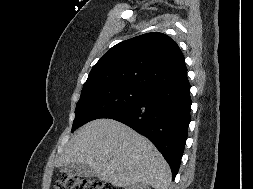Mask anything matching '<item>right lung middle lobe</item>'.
Instances as JSON below:
<instances>
[{
	"label": "right lung middle lobe",
	"mask_w": 253,
	"mask_h": 189,
	"mask_svg": "<svg viewBox=\"0 0 253 189\" xmlns=\"http://www.w3.org/2000/svg\"><path fill=\"white\" fill-rule=\"evenodd\" d=\"M145 95V90L124 86H108L81 93L72 132L89 121L106 118L137 103Z\"/></svg>",
	"instance_id": "1"
}]
</instances>
